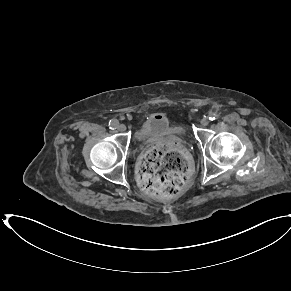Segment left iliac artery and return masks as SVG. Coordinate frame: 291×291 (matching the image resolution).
I'll use <instances>...</instances> for the list:
<instances>
[{"label": "left iliac artery", "mask_w": 291, "mask_h": 291, "mask_svg": "<svg viewBox=\"0 0 291 291\" xmlns=\"http://www.w3.org/2000/svg\"><path fill=\"white\" fill-rule=\"evenodd\" d=\"M217 117H218V114L216 112L215 113L213 112L209 115V120L213 121V120L217 119Z\"/></svg>", "instance_id": "44dca946"}]
</instances>
